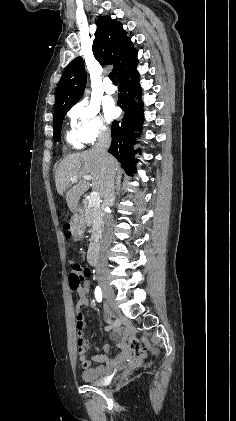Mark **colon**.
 Returning a JSON list of instances; mask_svg holds the SVG:
<instances>
[{
	"label": "colon",
	"instance_id": "obj_1",
	"mask_svg": "<svg viewBox=\"0 0 236 421\" xmlns=\"http://www.w3.org/2000/svg\"><path fill=\"white\" fill-rule=\"evenodd\" d=\"M69 234V231H68ZM90 271L88 268L80 265L74 264L69 273V284L71 289L79 291L83 289L87 283ZM143 345L147 346L148 341L145 337L138 339L137 337H132L129 340V348L138 356L145 358L147 353ZM83 343L79 340V353L83 351Z\"/></svg>",
	"mask_w": 236,
	"mask_h": 421
}]
</instances>
